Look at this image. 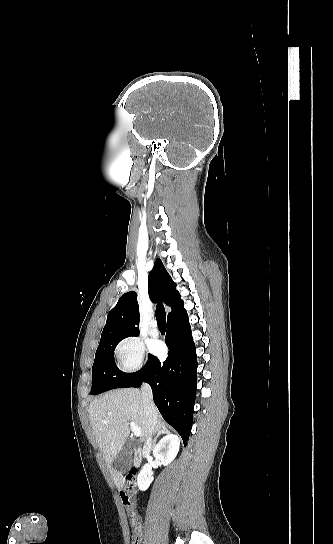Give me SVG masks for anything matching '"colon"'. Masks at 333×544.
<instances>
[{"instance_id":"obj_1","label":"colon","mask_w":333,"mask_h":544,"mask_svg":"<svg viewBox=\"0 0 333 544\" xmlns=\"http://www.w3.org/2000/svg\"><path fill=\"white\" fill-rule=\"evenodd\" d=\"M121 499L123 504L129 511L132 539L131 544H141L142 539V523L139 515L136 511L137 506V487L133 474H129L125 481V486L121 492Z\"/></svg>"}]
</instances>
